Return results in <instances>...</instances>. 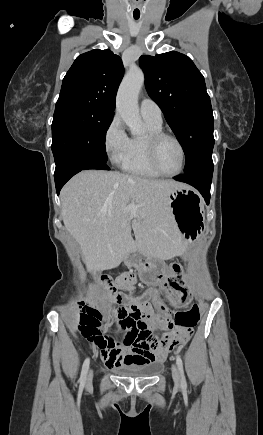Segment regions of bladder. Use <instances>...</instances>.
<instances>
[{"label": "bladder", "instance_id": "obj_1", "mask_svg": "<svg viewBox=\"0 0 263 435\" xmlns=\"http://www.w3.org/2000/svg\"><path fill=\"white\" fill-rule=\"evenodd\" d=\"M162 368L161 364L158 363H148L140 366H124L119 368L117 371L128 377H151L156 375Z\"/></svg>", "mask_w": 263, "mask_h": 435}]
</instances>
